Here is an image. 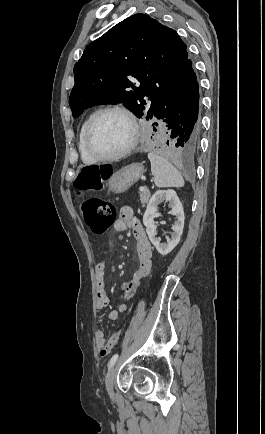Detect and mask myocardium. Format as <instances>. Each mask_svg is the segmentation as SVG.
I'll return each instance as SVG.
<instances>
[{
  "instance_id": "myocardium-1",
  "label": "myocardium",
  "mask_w": 265,
  "mask_h": 434,
  "mask_svg": "<svg viewBox=\"0 0 265 434\" xmlns=\"http://www.w3.org/2000/svg\"><path fill=\"white\" fill-rule=\"evenodd\" d=\"M112 111H118V112H121L127 116L129 121L131 122L133 134H132L131 142L126 149H124L123 151H121L117 154L105 155V154L101 153L100 151H98L96 149V147L94 146L93 136L95 134V127H96V124H97L99 118L102 115H104L105 113L112 112ZM139 138H140V128H139L136 116L133 114V112L129 108H127L126 106L121 105V104L107 105V106H104V107L98 109L92 115V117L88 123L86 135L84 137V147H85L87 154L90 157H92L93 159H95L96 161H98V162H112V161H118V160L123 159V158L127 157L128 155H130L136 149V147L139 143Z\"/></svg>"
}]
</instances>
